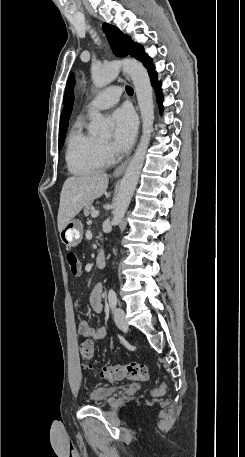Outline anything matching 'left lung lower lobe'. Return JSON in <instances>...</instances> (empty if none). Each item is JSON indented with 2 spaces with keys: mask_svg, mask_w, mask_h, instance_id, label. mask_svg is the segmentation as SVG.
Segmentation results:
<instances>
[{
  "mask_svg": "<svg viewBox=\"0 0 245 457\" xmlns=\"http://www.w3.org/2000/svg\"><path fill=\"white\" fill-rule=\"evenodd\" d=\"M143 65L148 69V73L151 77V84L152 86L154 87L155 89V92H156V96H157V102L159 104V107H160V111H162V94H161V88H160V83L157 81V74L154 70V67H153V63H152V60L150 57H148L147 55L145 57H143L141 60H140Z\"/></svg>",
  "mask_w": 245,
  "mask_h": 457,
  "instance_id": "obj_1",
  "label": "left lung lower lobe"
}]
</instances>
